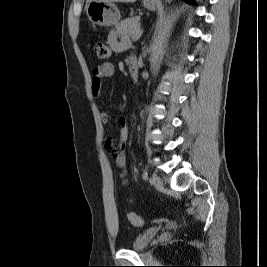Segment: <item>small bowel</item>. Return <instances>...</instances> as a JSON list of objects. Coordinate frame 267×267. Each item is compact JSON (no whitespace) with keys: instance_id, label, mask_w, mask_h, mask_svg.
<instances>
[{"instance_id":"c3829d8e","label":"small bowel","mask_w":267,"mask_h":267,"mask_svg":"<svg viewBox=\"0 0 267 267\" xmlns=\"http://www.w3.org/2000/svg\"><path fill=\"white\" fill-rule=\"evenodd\" d=\"M108 43L114 51L120 52L127 48V43L118 39L115 32H111L108 36ZM114 74V65L110 62H105L92 71L91 93L94 97L102 96V84L105 78L111 77ZM102 123L107 124L110 120L109 114L105 111L100 113ZM119 128V138L117 146L114 145L112 137H108L105 141L106 150L115 158L117 166L123 168L125 165V155L123 152L125 143L128 139V121L125 117L119 116L116 119Z\"/></svg>"}]
</instances>
